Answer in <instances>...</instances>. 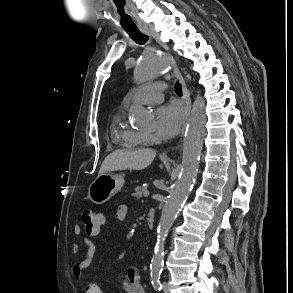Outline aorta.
I'll list each match as a JSON object with an SVG mask.
<instances>
[{
  "instance_id": "762f6f07",
  "label": "aorta",
  "mask_w": 293,
  "mask_h": 293,
  "mask_svg": "<svg viewBox=\"0 0 293 293\" xmlns=\"http://www.w3.org/2000/svg\"><path fill=\"white\" fill-rule=\"evenodd\" d=\"M169 59L170 54L163 51H155L149 55L143 56L136 67V82L143 84L166 74L170 68ZM133 116L134 120L140 125H145L150 121V115L142 108L135 109L133 111ZM205 123L206 114L204 101L198 98L193 103L191 116L183 141L181 172L170 190L157 227V241L150 266L152 272L160 271L163 267L166 237L182 204L186 201L198 173Z\"/></svg>"
}]
</instances>
